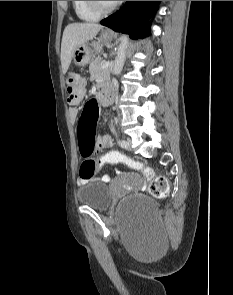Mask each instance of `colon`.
Returning <instances> with one entry per match:
<instances>
[{"mask_svg": "<svg viewBox=\"0 0 233 295\" xmlns=\"http://www.w3.org/2000/svg\"><path fill=\"white\" fill-rule=\"evenodd\" d=\"M66 86L70 98H76L85 92V81L75 72H68L66 74ZM96 121V117L88 111L83 113L79 120V147L81 155L84 158L80 166V178L88 180L100 168L114 164H125L144 174L149 181V192L153 197L158 199L167 197L169 193L168 180L163 176L155 177L153 170L146 167L142 162L134 160L117 150H110L97 158L93 157L96 147Z\"/></svg>", "mask_w": 233, "mask_h": 295, "instance_id": "obj_1", "label": "colon"}]
</instances>
